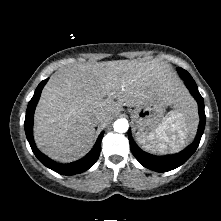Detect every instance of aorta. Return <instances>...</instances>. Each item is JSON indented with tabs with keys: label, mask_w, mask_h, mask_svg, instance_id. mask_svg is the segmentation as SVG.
I'll return each mask as SVG.
<instances>
[{
	"label": "aorta",
	"mask_w": 221,
	"mask_h": 221,
	"mask_svg": "<svg viewBox=\"0 0 221 221\" xmlns=\"http://www.w3.org/2000/svg\"><path fill=\"white\" fill-rule=\"evenodd\" d=\"M114 130L118 133H124L128 130L129 124L126 119H118L114 122Z\"/></svg>",
	"instance_id": "obj_1"
}]
</instances>
